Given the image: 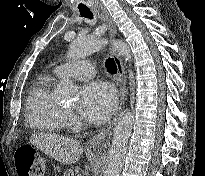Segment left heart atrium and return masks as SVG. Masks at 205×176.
I'll return each instance as SVG.
<instances>
[{"instance_id": "obj_1", "label": "left heart atrium", "mask_w": 205, "mask_h": 176, "mask_svg": "<svg viewBox=\"0 0 205 176\" xmlns=\"http://www.w3.org/2000/svg\"><path fill=\"white\" fill-rule=\"evenodd\" d=\"M115 103L112 87L103 81H93L81 90L79 111L89 121L103 123L112 113Z\"/></svg>"}]
</instances>
